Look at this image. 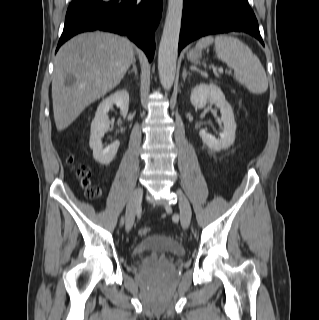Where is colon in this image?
Wrapping results in <instances>:
<instances>
[{
	"instance_id": "5ec220e1",
	"label": "colon",
	"mask_w": 319,
	"mask_h": 320,
	"mask_svg": "<svg viewBox=\"0 0 319 320\" xmlns=\"http://www.w3.org/2000/svg\"><path fill=\"white\" fill-rule=\"evenodd\" d=\"M77 175L81 180V183L86 187V195L88 198L96 200L101 196V189L91 184V169L87 166H79L77 169ZM150 229L148 227H142L139 229L138 233L141 236L149 234Z\"/></svg>"
}]
</instances>
